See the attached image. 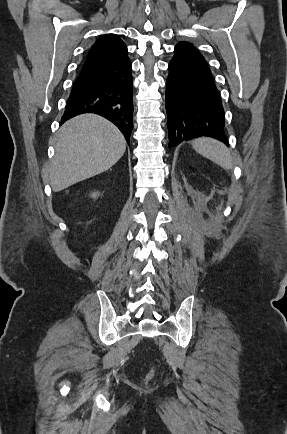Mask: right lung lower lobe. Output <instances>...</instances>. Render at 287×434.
<instances>
[{"mask_svg":"<svg viewBox=\"0 0 287 434\" xmlns=\"http://www.w3.org/2000/svg\"><path fill=\"white\" fill-rule=\"evenodd\" d=\"M132 83L127 52L84 64L68 98L62 123L79 114L96 113L114 123L129 143L133 128Z\"/></svg>","mask_w":287,"mask_h":434,"instance_id":"right-lung-lower-lobe-1","label":"right lung lower lobe"}]
</instances>
